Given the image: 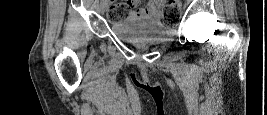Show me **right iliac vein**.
<instances>
[{
    "label": "right iliac vein",
    "mask_w": 267,
    "mask_h": 115,
    "mask_svg": "<svg viewBox=\"0 0 267 115\" xmlns=\"http://www.w3.org/2000/svg\"><path fill=\"white\" fill-rule=\"evenodd\" d=\"M100 8L102 13L105 12V10L107 9V4L105 1L101 2Z\"/></svg>",
    "instance_id": "obj_1"
}]
</instances>
